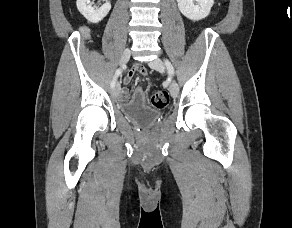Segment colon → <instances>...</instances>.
Returning <instances> with one entry per match:
<instances>
[{
    "instance_id": "5ec220e1",
    "label": "colon",
    "mask_w": 292,
    "mask_h": 228,
    "mask_svg": "<svg viewBox=\"0 0 292 228\" xmlns=\"http://www.w3.org/2000/svg\"><path fill=\"white\" fill-rule=\"evenodd\" d=\"M151 104L156 109H163L169 104V95L166 91H158L153 94Z\"/></svg>"
}]
</instances>
